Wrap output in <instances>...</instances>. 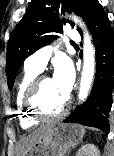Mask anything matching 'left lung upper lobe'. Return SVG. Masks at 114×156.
Here are the masks:
<instances>
[{
	"label": "left lung upper lobe",
	"mask_w": 114,
	"mask_h": 156,
	"mask_svg": "<svg viewBox=\"0 0 114 156\" xmlns=\"http://www.w3.org/2000/svg\"><path fill=\"white\" fill-rule=\"evenodd\" d=\"M97 0H32L29 8L13 31L8 42L6 73L8 87L12 89L16 73L24 60L40 47L50 44L62 33L63 22L58 13L69 11L82 16L87 23L90 11ZM71 26H74L70 22ZM80 32V29H77Z\"/></svg>",
	"instance_id": "1"
}]
</instances>
